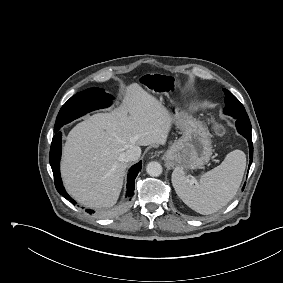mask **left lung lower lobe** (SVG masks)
Masks as SVG:
<instances>
[{"label": "left lung lower lobe", "instance_id": "obj_1", "mask_svg": "<svg viewBox=\"0 0 283 283\" xmlns=\"http://www.w3.org/2000/svg\"><path fill=\"white\" fill-rule=\"evenodd\" d=\"M236 119V127L238 132L243 135L249 143V150H250V162H249V168L252 164L253 160V144H252V136H251V124L249 118H246L244 116L235 118ZM246 184V183H245ZM245 184L242 188V190L245 187Z\"/></svg>", "mask_w": 283, "mask_h": 283}]
</instances>
